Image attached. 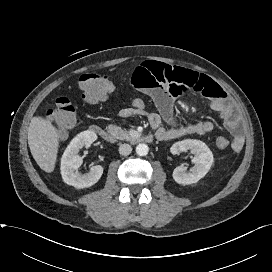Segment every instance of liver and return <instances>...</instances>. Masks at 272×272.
<instances>
[{
	"instance_id": "1",
	"label": "liver",
	"mask_w": 272,
	"mask_h": 272,
	"mask_svg": "<svg viewBox=\"0 0 272 272\" xmlns=\"http://www.w3.org/2000/svg\"><path fill=\"white\" fill-rule=\"evenodd\" d=\"M28 144L33 158L47 173L55 169L59 148V133L49 120L33 117L28 128Z\"/></svg>"
}]
</instances>
